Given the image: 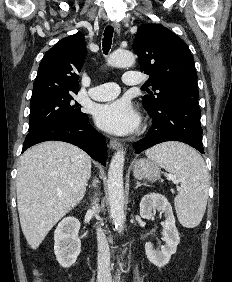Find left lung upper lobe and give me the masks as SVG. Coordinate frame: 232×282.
<instances>
[{
  "label": "left lung upper lobe",
  "instance_id": "1",
  "mask_svg": "<svg viewBox=\"0 0 232 282\" xmlns=\"http://www.w3.org/2000/svg\"><path fill=\"white\" fill-rule=\"evenodd\" d=\"M133 50L141 71L150 75L148 83L157 91L144 96L145 107L159 108L174 96L198 97L193 56L175 33L160 24H144L138 28Z\"/></svg>",
  "mask_w": 232,
  "mask_h": 282
}]
</instances>
